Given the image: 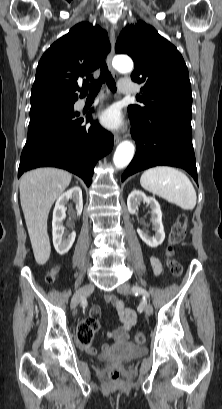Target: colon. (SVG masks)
<instances>
[{"instance_id": "colon-1", "label": "colon", "mask_w": 222, "mask_h": 409, "mask_svg": "<svg viewBox=\"0 0 222 409\" xmlns=\"http://www.w3.org/2000/svg\"><path fill=\"white\" fill-rule=\"evenodd\" d=\"M187 231V217L182 214L178 217L177 221L171 228L169 237H168V245L166 248V264L170 272L175 276L179 277L182 274V266L176 259L173 258L174 255V247L181 243L186 235ZM57 276V269L54 268L50 270L46 275V281L48 283H52L55 281ZM98 323L93 322L91 320H84L82 321L77 328V339L80 343H91L95 332L98 330ZM135 341L138 344H141L145 341V336L143 333L138 332L135 335ZM109 378L113 382H118L121 380V374L118 368L114 367L109 372Z\"/></svg>"}]
</instances>
